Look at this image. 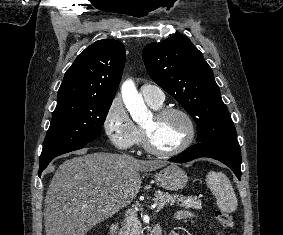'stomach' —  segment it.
<instances>
[{
    "label": "stomach",
    "instance_id": "0dacf381",
    "mask_svg": "<svg viewBox=\"0 0 283 235\" xmlns=\"http://www.w3.org/2000/svg\"><path fill=\"white\" fill-rule=\"evenodd\" d=\"M156 183L168 191L182 190L188 181L186 173L176 165H170L154 174Z\"/></svg>",
    "mask_w": 283,
    "mask_h": 235
}]
</instances>
